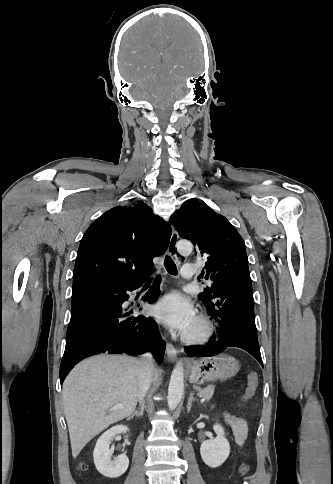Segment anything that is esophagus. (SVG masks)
Instances as JSON below:
<instances>
[{
  "mask_svg": "<svg viewBox=\"0 0 333 484\" xmlns=\"http://www.w3.org/2000/svg\"><path fill=\"white\" fill-rule=\"evenodd\" d=\"M177 242H178V233L176 232V230L173 229L170 237V241H169L168 254L171 257H174L176 259H178L177 252H176ZM166 352H167L168 360L170 362H175L177 360L178 351L171 343L167 344Z\"/></svg>",
  "mask_w": 333,
  "mask_h": 484,
  "instance_id": "esophagus-1",
  "label": "esophagus"
}]
</instances>
